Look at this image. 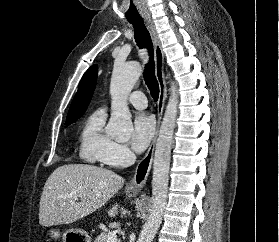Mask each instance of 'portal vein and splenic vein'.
<instances>
[{"mask_svg":"<svg viewBox=\"0 0 279 242\" xmlns=\"http://www.w3.org/2000/svg\"><path fill=\"white\" fill-rule=\"evenodd\" d=\"M72 197L78 199L77 196H72ZM106 242H117V235L115 231L108 232Z\"/></svg>","mask_w":279,"mask_h":242,"instance_id":"18ae733b","label":"portal vein and splenic vein"}]
</instances>
